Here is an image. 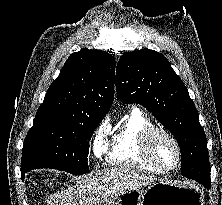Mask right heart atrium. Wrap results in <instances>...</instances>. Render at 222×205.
<instances>
[{
  "label": "right heart atrium",
  "instance_id": "obj_1",
  "mask_svg": "<svg viewBox=\"0 0 222 205\" xmlns=\"http://www.w3.org/2000/svg\"><path fill=\"white\" fill-rule=\"evenodd\" d=\"M108 127L102 124L95 132L93 139V151L97 157H100L106 150Z\"/></svg>",
  "mask_w": 222,
  "mask_h": 205
}]
</instances>
